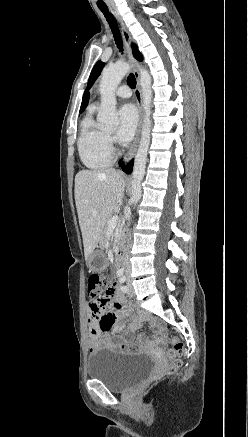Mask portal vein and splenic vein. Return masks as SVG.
<instances>
[{
	"mask_svg": "<svg viewBox=\"0 0 248 437\" xmlns=\"http://www.w3.org/2000/svg\"><path fill=\"white\" fill-rule=\"evenodd\" d=\"M118 223V216H113L107 221L108 229H114Z\"/></svg>",
	"mask_w": 248,
	"mask_h": 437,
	"instance_id": "obj_1",
	"label": "portal vein and splenic vein"
}]
</instances>
